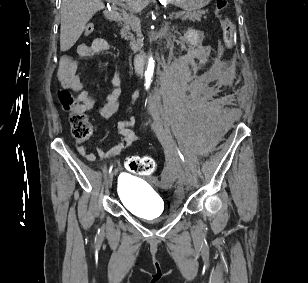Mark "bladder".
<instances>
[{"instance_id":"1","label":"bladder","mask_w":308,"mask_h":283,"mask_svg":"<svg viewBox=\"0 0 308 283\" xmlns=\"http://www.w3.org/2000/svg\"><path fill=\"white\" fill-rule=\"evenodd\" d=\"M117 195L122 204L139 217L157 218L164 213V204L157 192L136 177L121 174Z\"/></svg>"}]
</instances>
